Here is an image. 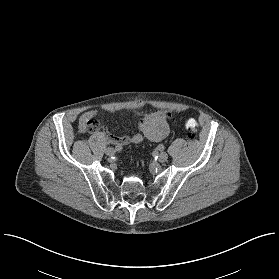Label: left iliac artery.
I'll list each match as a JSON object with an SVG mask.
<instances>
[{
	"label": "left iliac artery",
	"instance_id": "left-iliac-artery-1",
	"mask_svg": "<svg viewBox=\"0 0 279 279\" xmlns=\"http://www.w3.org/2000/svg\"><path fill=\"white\" fill-rule=\"evenodd\" d=\"M158 148H159L160 150H164V149H165V147H164L163 144H159V145H158Z\"/></svg>",
	"mask_w": 279,
	"mask_h": 279
}]
</instances>
